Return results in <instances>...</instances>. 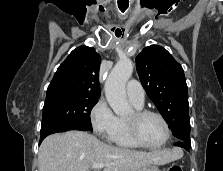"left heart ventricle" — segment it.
Returning a JSON list of instances; mask_svg holds the SVG:
<instances>
[{"mask_svg":"<svg viewBox=\"0 0 223 171\" xmlns=\"http://www.w3.org/2000/svg\"><path fill=\"white\" fill-rule=\"evenodd\" d=\"M133 111L126 117L131 119ZM138 134L141 140L150 146H156L163 142L166 136V130L162 121L153 115H147L139 120L137 124Z\"/></svg>","mask_w":223,"mask_h":171,"instance_id":"obj_1","label":"left heart ventricle"}]
</instances>
